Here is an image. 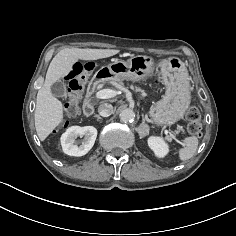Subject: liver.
I'll return each instance as SVG.
<instances>
[{
  "label": "liver",
  "mask_w": 236,
  "mask_h": 236,
  "mask_svg": "<svg viewBox=\"0 0 236 236\" xmlns=\"http://www.w3.org/2000/svg\"><path fill=\"white\" fill-rule=\"evenodd\" d=\"M118 49H79L66 48L58 52L52 59L43 86L36 98L35 128L41 141L54 130L63 120V104L55 98L50 90L53 83L66 76L76 61L98 60L119 53Z\"/></svg>",
  "instance_id": "6515ba94"
}]
</instances>
